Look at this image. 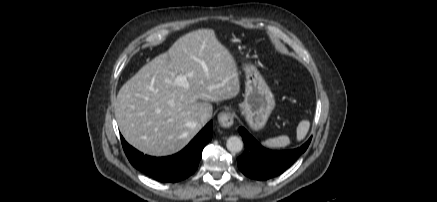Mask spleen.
Instances as JSON below:
<instances>
[{
    "label": "spleen",
    "mask_w": 437,
    "mask_h": 202,
    "mask_svg": "<svg viewBox=\"0 0 437 202\" xmlns=\"http://www.w3.org/2000/svg\"><path fill=\"white\" fill-rule=\"evenodd\" d=\"M310 127V122L307 120H302L298 126H297V140H302L305 138V136L308 133ZM262 144L269 148H281L286 147L290 144V139L286 135L274 137L267 139L266 141L262 142Z\"/></svg>",
    "instance_id": "obj_1"
}]
</instances>
